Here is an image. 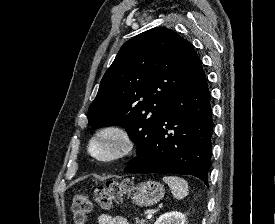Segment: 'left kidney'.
<instances>
[{"label": "left kidney", "mask_w": 275, "mask_h": 224, "mask_svg": "<svg viewBox=\"0 0 275 224\" xmlns=\"http://www.w3.org/2000/svg\"><path fill=\"white\" fill-rule=\"evenodd\" d=\"M185 216L178 211L161 215L154 224H184Z\"/></svg>", "instance_id": "obj_1"}]
</instances>
